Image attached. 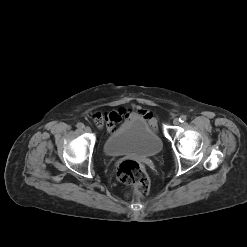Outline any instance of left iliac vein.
<instances>
[{
  "instance_id": "1",
  "label": "left iliac vein",
  "mask_w": 247,
  "mask_h": 247,
  "mask_svg": "<svg viewBox=\"0 0 247 247\" xmlns=\"http://www.w3.org/2000/svg\"><path fill=\"white\" fill-rule=\"evenodd\" d=\"M173 124H174V125H179V119H178V118H175V119L173 120Z\"/></svg>"
}]
</instances>
